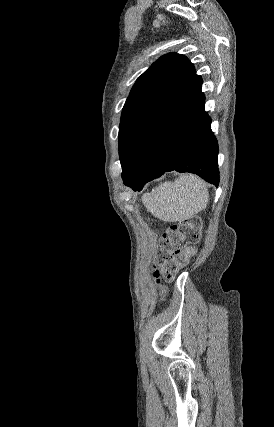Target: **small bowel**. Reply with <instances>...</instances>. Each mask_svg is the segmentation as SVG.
Returning a JSON list of instances; mask_svg holds the SVG:
<instances>
[{"label": "small bowel", "instance_id": "small-bowel-1", "mask_svg": "<svg viewBox=\"0 0 274 427\" xmlns=\"http://www.w3.org/2000/svg\"><path fill=\"white\" fill-rule=\"evenodd\" d=\"M182 250L180 251H163L162 250V255L165 257L168 256H180L182 255ZM171 267L173 269H168L169 268V263L167 261H160L158 263V267L157 266H152L151 270L155 271L154 275L155 278H160V282L162 284H169L171 282V278H175L177 276V271L176 270H184L185 268V263L184 261H174L171 264ZM159 268V269H158ZM156 285H159V282L156 281L155 282ZM162 293L165 292L164 289L161 290Z\"/></svg>", "mask_w": 274, "mask_h": 427}]
</instances>
